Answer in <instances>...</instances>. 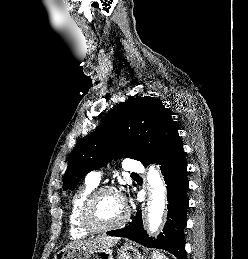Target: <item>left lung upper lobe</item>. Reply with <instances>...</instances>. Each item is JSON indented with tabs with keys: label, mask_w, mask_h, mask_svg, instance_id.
Here are the masks:
<instances>
[{
	"label": "left lung upper lobe",
	"mask_w": 248,
	"mask_h": 259,
	"mask_svg": "<svg viewBox=\"0 0 248 259\" xmlns=\"http://www.w3.org/2000/svg\"><path fill=\"white\" fill-rule=\"evenodd\" d=\"M179 140L176 123L159 100L130 97L74 147L63 189L73 190L86 173L106 165L111 156L132 158L146 166Z\"/></svg>",
	"instance_id": "1"
}]
</instances>
